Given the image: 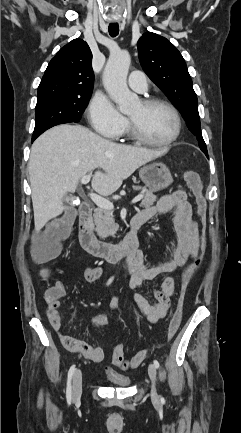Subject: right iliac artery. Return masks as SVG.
Masks as SVG:
<instances>
[{"label": "right iliac artery", "mask_w": 241, "mask_h": 433, "mask_svg": "<svg viewBox=\"0 0 241 433\" xmlns=\"http://www.w3.org/2000/svg\"><path fill=\"white\" fill-rule=\"evenodd\" d=\"M113 281V277H111L107 284L109 285ZM75 371V365H72L68 371V379H67V388H66V398L67 401L70 402L72 398V388H71V380Z\"/></svg>", "instance_id": "right-iliac-artery-1"}]
</instances>
